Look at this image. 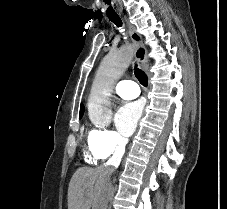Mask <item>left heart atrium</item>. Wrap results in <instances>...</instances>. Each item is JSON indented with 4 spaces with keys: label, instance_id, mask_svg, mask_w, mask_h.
Listing matches in <instances>:
<instances>
[{
    "label": "left heart atrium",
    "instance_id": "1",
    "mask_svg": "<svg viewBox=\"0 0 227 209\" xmlns=\"http://www.w3.org/2000/svg\"><path fill=\"white\" fill-rule=\"evenodd\" d=\"M144 111V103L141 100L123 102L116 115V124L120 133L126 137L131 136Z\"/></svg>",
    "mask_w": 227,
    "mask_h": 209
}]
</instances>
